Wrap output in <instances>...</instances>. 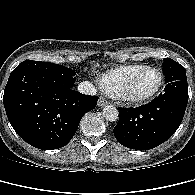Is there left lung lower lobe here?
I'll return each instance as SVG.
<instances>
[{"mask_svg":"<svg viewBox=\"0 0 195 195\" xmlns=\"http://www.w3.org/2000/svg\"><path fill=\"white\" fill-rule=\"evenodd\" d=\"M188 102L187 80L167 83L164 92L137 108H119L113 132L123 146L148 150L165 142L182 122Z\"/></svg>","mask_w":195,"mask_h":195,"instance_id":"1","label":"left lung lower lobe"}]
</instances>
